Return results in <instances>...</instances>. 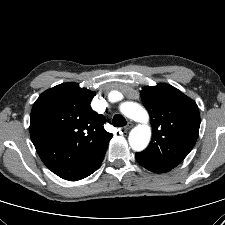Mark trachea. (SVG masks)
I'll return each mask as SVG.
<instances>
[{
	"mask_svg": "<svg viewBox=\"0 0 225 225\" xmlns=\"http://www.w3.org/2000/svg\"><path fill=\"white\" fill-rule=\"evenodd\" d=\"M112 123H113L114 127H123V126H125L127 124V121L122 115L116 114L113 117Z\"/></svg>",
	"mask_w": 225,
	"mask_h": 225,
	"instance_id": "obj_1",
	"label": "trachea"
}]
</instances>
